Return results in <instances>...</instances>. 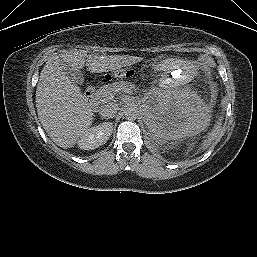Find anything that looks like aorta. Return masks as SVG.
Returning a JSON list of instances; mask_svg holds the SVG:
<instances>
[{
	"mask_svg": "<svg viewBox=\"0 0 257 257\" xmlns=\"http://www.w3.org/2000/svg\"><path fill=\"white\" fill-rule=\"evenodd\" d=\"M124 115L128 120H135L138 117V109L136 107L127 106L124 109Z\"/></svg>",
	"mask_w": 257,
	"mask_h": 257,
	"instance_id": "aorta-1",
	"label": "aorta"
}]
</instances>
